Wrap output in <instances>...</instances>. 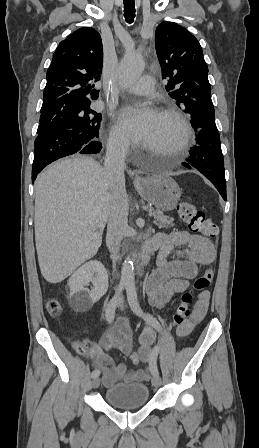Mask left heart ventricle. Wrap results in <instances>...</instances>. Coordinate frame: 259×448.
<instances>
[{
    "label": "left heart ventricle",
    "mask_w": 259,
    "mask_h": 448,
    "mask_svg": "<svg viewBox=\"0 0 259 448\" xmlns=\"http://www.w3.org/2000/svg\"><path fill=\"white\" fill-rule=\"evenodd\" d=\"M179 135V125L170 116H159L155 123L140 139L150 149L161 152L171 146Z\"/></svg>",
    "instance_id": "b2bd125f"
}]
</instances>
